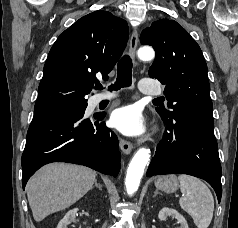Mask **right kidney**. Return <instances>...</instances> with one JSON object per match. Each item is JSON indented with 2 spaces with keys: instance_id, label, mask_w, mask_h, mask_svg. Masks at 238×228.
Segmentation results:
<instances>
[{
  "instance_id": "1",
  "label": "right kidney",
  "mask_w": 238,
  "mask_h": 228,
  "mask_svg": "<svg viewBox=\"0 0 238 228\" xmlns=\"http://www.w3.org/2000/svg\"><path fill=\"white\" fill-rule=\"evenodd\" d=\"M77 211V208L68 211L63 217V219H61L58 223L57 228H67V226L75 220L77 216Z\"/></svg>"
}]
</instances>
